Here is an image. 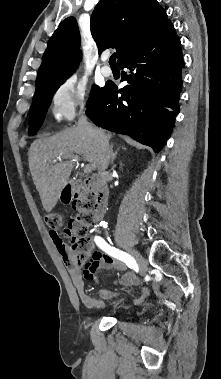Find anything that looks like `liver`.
I'll return each instance as SVG.
<instances>
[{
  "label": "liver",
  "mask_w": 221,
  "mask_h": 379,
  "mask_svg": "<svg viewBox=\"0 0 221 379\" xmlns=\"http://www.w3.org/2000/svg\"><path fill=\"white\" fill-rule=\"evenodd\" d=\"M104 135L107 140L111 138V134ZM98 151L99 141L78 127L35 140L31 144L28 152L29 168L45 211L50 212L57 204L74 167L72 161L61 160L71 159L76 154L75 157L81 156L96 169Z\"/></svg>",
  "instance_id": "1"
}]
</instances>
